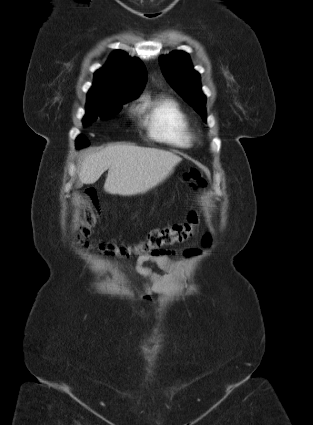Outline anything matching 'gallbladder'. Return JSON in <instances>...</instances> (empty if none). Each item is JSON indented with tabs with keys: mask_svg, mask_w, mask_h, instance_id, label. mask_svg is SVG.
Masks as SVG:
<instances>
[{
	"mask_svg": "<svg viewBox=\"0 0 313 425\" xmlns=\"http://www.w3.org/2000/svg\"><path fill=\"white\" fill-rule=\"evenodd\" d=\"M81 185H82V183H81L79 180H77V181H76V187H77V188H80V187H81Z\"/></svg>",
	"mask_w": 313,
	"mask_h": 425,
	"instance_id": "bac80fb5",
	"label": "gallbladder"
}]
</instances>
